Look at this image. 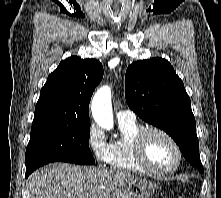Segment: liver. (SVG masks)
I'll return each mask as SVG.
<instances>
[{
    "label": "liver",
    "mask_w": 221,
    "mask_h": 198,
    "mask_svg": "<svg viewBox=\"0 0 221 198\" xmlns=\"http://www.w3.org/2000/svg\"><path fill=\"white\" fill-rule=\"evenodd\" d=\"M133 179L128 172L51 163L32 173L28 186L31 198H107Z\"/></svg>",
    "instance_id": "liver-1"
}]
</instances>
